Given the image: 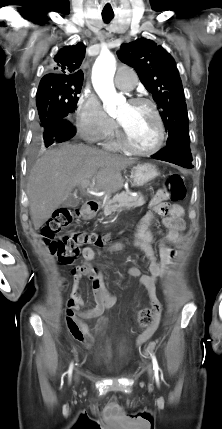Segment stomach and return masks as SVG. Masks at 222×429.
I'll return each instance as SVG.
<instances>
[{
  "mask_svg": "<svg viewBox=\"0 0 222 429\" xmlns=\"http://www.w3.org/2000/svg\"><path fill=\"white\" fill-rule=\"evenodd\" d=\"M159 175V172L155 165L150 163L140 164L132 170V185L140 187L151 180L155 179Z\"/></svg>",
  "mask_w": 222,
  "mask_h": 429,
  "instance_id": "1",
  "label": "stomach"
}]
</instances>
